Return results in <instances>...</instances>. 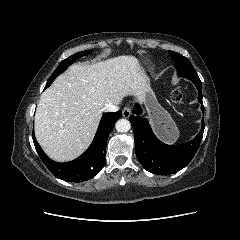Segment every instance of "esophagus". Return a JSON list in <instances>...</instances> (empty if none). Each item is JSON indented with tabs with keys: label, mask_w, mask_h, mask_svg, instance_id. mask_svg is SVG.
<instances>
[{
	"label": "esophagus",
	"mask_w": 240,
	"mask_h": 240,
	"mask_svg": "<svg viewBox=\"0 0 240 240\" xmlns=\"http://www.w3.org/2000/svg\"><path fill=\"white\" fill-rule=\"evenodd\" d=\"M131 108L130 107H125L123 110H122V116L124 118H129L131 116Z\"/></svg>",
	"instance_id": "esophagus-1"
}]
</instances>
